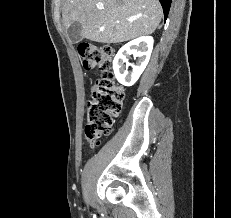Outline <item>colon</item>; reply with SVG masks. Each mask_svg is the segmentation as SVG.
<instances>
[{"label": "colon", "instance_id": "5ec220e1", "mask_svg": "<svg viewBox=\"0 0 231 218\" xmlns=\"http://www.w3.org/2000/svg\"><path fill=\"white\" fill-rule=\"evenodd\" d=\"M77 52L85 70H102L86 104L85 135L89 141L98 143L111 132L114 120L121 111L124 89L115 82L111 70L113 48L82 43Z\"/></svg>", "mask_w": 231, "mask_h": 218}]
</instances>
